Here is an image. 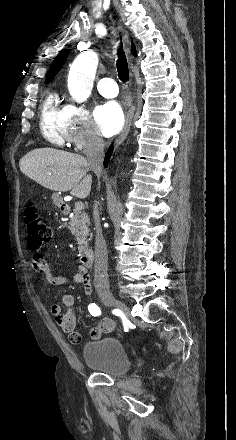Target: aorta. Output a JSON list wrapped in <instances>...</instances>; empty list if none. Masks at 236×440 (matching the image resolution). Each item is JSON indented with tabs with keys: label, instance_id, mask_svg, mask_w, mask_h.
Listing matches in <instances>:
<instances>
[{
	"label": "aorta",
	"instance_id": "762f6f07",
	"mask_svg": "<svg viewBox=\"0 0 236 440\" xmlns=\"http://www.w3.org/2000/svg\"><path fill=\"white\" fill-rule=\"evenodd\" d=\"M98 57L94 52L81 53L73 61L68 74V90L78 103L87 100L93 88Z\"/></svg>",
	"mask_w": 236,
	"mask_h": 440
}]
</instances>
